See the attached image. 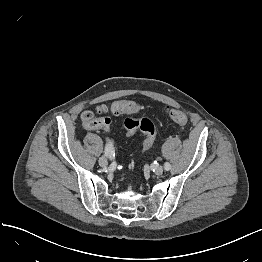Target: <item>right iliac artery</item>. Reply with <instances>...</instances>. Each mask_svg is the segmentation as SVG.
<instances>
[{"mask_svg": "<svg viewBox=\"0 0 262 262\" xmlns=\"http://www.w3.org/2000/svg\"><path fill=\"white\" fill-rule=\"evenodd\" d=\"M105 155L109 158H112L115 155L114 145L110 140L105 145Z\"/></svg>", "mask_w": 262, "mask_h": 262, "instance_id": "right-iliac-artery-1", "label": "right iliac artery"}]
</instances>
